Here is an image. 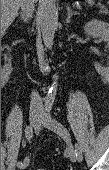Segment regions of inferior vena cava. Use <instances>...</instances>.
Returning a JSON list of instances; mask_svg holds the SVG:
<instances>
[{"instance_id":"1","label":"inferior vena cava","mask_w":109,"mask_h":170,"mask_svg":"<svg viewBox=\"0 0 109 170\" xmlns=\"http://www.w3.org/2000/svg\"><path fill=\"white\" fill-rule=\"evenodd\" d=\"M34 3L35 0H21L20 7L22 10L21 16L24 21H28L29 18H32L34 12ZM31 108L42 109L43 104L40 95L38 92L33 91L31 93Z\"/></svg>"}]
</instances>
